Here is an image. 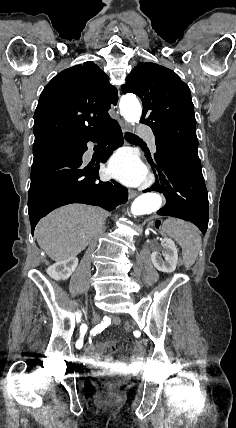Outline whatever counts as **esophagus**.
<instances>
[{"instance_id": "obj_1", "label": "esophagus", "mask_w": 236, "mask_h": 428, "mask_svg": "<svg viewBox=\"0 0 236 428\" xmlns=\"http://www.w3.org/2000/svg\"><path fill=\"white\" fill-rule=\"evenodd\" d=\"M119 124H120L121 130L124 134L130 132L128 125L124 121L120 120ZM136 195H137L136 190L131 189L129 191V198H134Z\"/></svg>"}]
</instances>
